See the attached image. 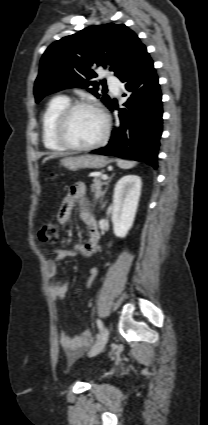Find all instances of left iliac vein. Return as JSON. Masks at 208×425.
<instances>
[{
  "instance_id": "left-iliac-vein-1",
  "label": "left iliac vein",
  "mask_w": 208,
  "mask_h": 425,
  "mask_svg": "<svg viewBox=\"0 0 208 425\" xmlns=\"http://www.w3.org/2000/svg\"><path fill=\"white\" fill-rule=\"evenodd\" d=\"M108 338H109V330L107 327H104L95 345L90 350L89 356L92 357L102 352L107 344Z\"/></svg>"
}]
</instances>
